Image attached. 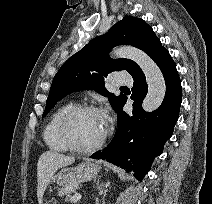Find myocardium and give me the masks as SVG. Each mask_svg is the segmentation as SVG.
I'll use <instances>...</instances> for the list:
<instances>
[{"label": "myocardium", "mask_w": 212, "mask_h": 204, "mask_svg": "<svg viewBox=\"0 0 212 204\" xmlns=\"http://www.w3.org/2000/svg\"><path fill=\"white\" fill-rule=\"evenodd\" d=\"M83 112H97L104 114L100 108L93 105L88 104L74 105L62 115L58 124V132L61 140L69 150L77 153H91L99 149L104 144L109 134V126L108 124H106V128L103 135L94 144L89 146H80L76 144L70 132V122L74 116Z\"/></svg>", "instance_id": "1"}]
</instances>
